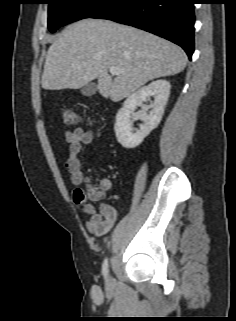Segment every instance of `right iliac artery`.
Listing matches in <instances>:
<instances>
[{
    "label": "right iliac artery",
    "mask_w": 236,
    "mask_h": 321,
    "mask_svg": "<svg viewBox=\"0 0 236 321\" xmlns=\"http://www.w3.org/2000/svg\"><path fill=\"white\" fill-rule=\"evenodd\" d=\"M102 272H103L104 277L107 278V275H108V259L107 258L103 262Z\"/></svg>",
    "instance_id": "right-iliac-artery-1"
}]
</instances>
